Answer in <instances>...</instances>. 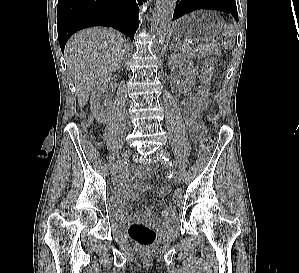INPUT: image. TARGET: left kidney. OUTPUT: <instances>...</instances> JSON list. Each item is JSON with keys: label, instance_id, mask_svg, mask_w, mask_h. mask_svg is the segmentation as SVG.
<instances>
[{"label": "left kidney", "instance_id": "obj_1", "mask_svg": "<svg viewBox=\"0 0 299 273\" xmlns=\"http://www.w3.org/2000/svg\"><path fill=\"white\" fill-rule=\"evenodd\" d=\"M168 66L172 71L177 67L183 70L185 75V82L182 84L180 89L183 92L189 91L195 80V70L192 64L181 54H172L169 57Z\"/></svg>", "mask_w": 299, "mask_h": 273}]
</instances>
